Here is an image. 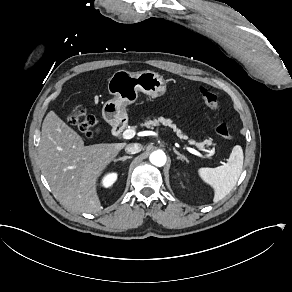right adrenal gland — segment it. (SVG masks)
<instances>
[{
    "mask_svg": "<svg viewBox=\"0 0 292 292\" xmlns=\"http://www.w3.org/2000/svg\"><path fill=\"white\" fill-rule=\"evenodd\" d=\"M132 156H123V157H120L118 159H115L114 161L117 162V161H125L127 159H131Z\"/></svg>",
    "mask_w": 292,
    "mask_h": 292,
    "instance_id": "right-adrenal-gland-1",
    "label": "right adrenal gland"
}]
</instances>
